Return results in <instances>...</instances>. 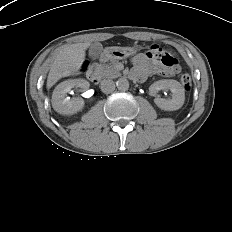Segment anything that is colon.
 <instances>
[{
	"instance_id": "obj_1",
	"label": "colon",
	"mask_w": 232,
	"mask_h": 232,
	"mask_svg": "<svg viewBox=\"0 0 232 232\" xmlns=\"http://www.w3.org/2000/svg\"><path fill=\"white\" fill-rule=\"evenodd\" d=\"M147 57L163 66L167 70L171 72L175 71L179 67V61L178 59L172 55L169 51L159 47V46H152L148 52H147ZM181 84L182 86L186 89L189 90L192 86V79L189 74H182L181 75Z\"/></svg>"
}]
</instances>
